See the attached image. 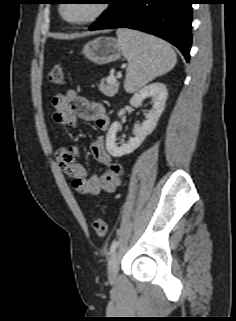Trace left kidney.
<instances>
[{
	"label": "left kidney",
	"mask_w": 236,
	"mask_h": 321,
	"mask_svg": "<svg viewBox=\"0 0 236 321\" xmlns=\"http://www.w3.org/2000/svg\"><path fill=\"white\" fill-rule=\"evenodd\" d=\"M167 95L166 86L163 83L157 82L144 87L130 99V104L135 106L140 104L145 98L153 97V106L147 114L146 120L141 125L136 124L134 126L135 136L120 146L116 144V133L121 125L118 121H115L111 125L106 135V149L113 157H121L132 153L142 144L145 138L152 133L164 110ZM124 114L125 110L121 109L118 116L121 117Z\"/></svg>",
	"instance_id": "1"
}]
</instances>
